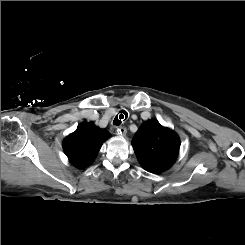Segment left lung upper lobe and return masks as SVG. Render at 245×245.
Masks as SVG:
<instances>
[{
    "instance_id": "obj_1",
    "label": "left lung upper lobe",
    "mask_w": 245,
    "mask_h": 245,
    "mask_svg": "<svg viewBox=\"0 0 245 245\" xmlns=\"http://www.w3.org/2000/svg\"><path fill=\"white\" fill-rule=\"evenodd\" d=\"M135 154L141 166L152 173L168 170L176 161L180 138L170 128L156 120L144 122L132 139Z\"/></svg>"
}]
</instances>
